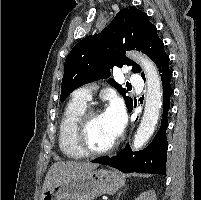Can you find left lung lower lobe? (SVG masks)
<instances>
[{
    "label": "left lung lower lobe",
    "mask_w": 201,
    "mask_h": 200,
    "mask_svg": "<svg viewBox=\"0 0 201 200\" xmlns=\"http://www.w3.org/2000/svg\"><path fill=\"white\" fill-rule=\"evenodd\" d=\"M156 66L161 73L163 86V115L161 126L151 144L139 152H132L127 145L121 152L114 157H101L93 160V163H100L114 167L124 173H151L166 174L167 147L166 138L167 114L170 108V96L173 93L171 88L172 72L169 69V56L163 53L156 61ZM143 79L145 77L143 76ZM132 108L129 110L131 111Z\"/></svg>",
    "instance_id": "1"
}]
</instances>
